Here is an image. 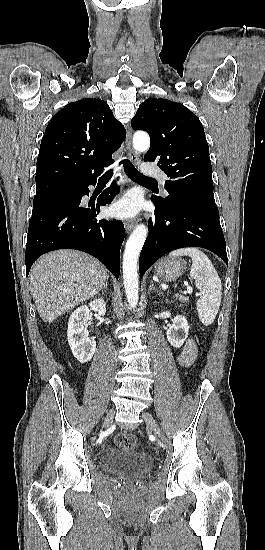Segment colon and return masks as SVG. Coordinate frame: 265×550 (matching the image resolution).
<instances>
[{
	"instance_id": "obj_1",
	"label": "colon",
	"mask_w": 265,
	"mask_h": 550,
	"mask_svg": "<svg viewBox=\"0 0 265 550\" xmlns=\"http://www.w3.org/2000/svg\"><path fill=\"white\" fill-rule=\"evenodd\" d=\"M115 443L118 447L135 449L138 446L137 437L131 433L119 434L115 437Z\"/></svg>"
}]
</instances>
